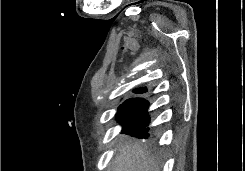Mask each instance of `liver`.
I'll list each match as a JSON object with an SVG mask.
<instances>
[{"label": "liver", "instance_id": "1", "mask_svg": "<svg viewBox=\"0 0 245 171\" xmlns=\"http://www.w3.org/2000/svg\"><path fill=\"white\" fill-rule=\"evenodd\" d=\"M113 171H160L155 159L138 143H125L118 148Z\"/></svg>", "mask_w": 245, "mask_h": 171}]
</instances>
